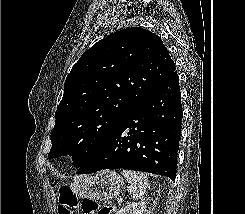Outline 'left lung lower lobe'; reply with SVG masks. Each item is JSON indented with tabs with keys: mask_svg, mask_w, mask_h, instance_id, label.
Here are the masks:
<instances>
[{
	"mask_svg": "<svg viewBox=\"0 0 245 214\" xmlns=\"http://www.w3.org/2000/svg\"><path fill=\"white\" fill-rule=\"evenodd\" d=\"M182 106L174 71L146 96L79 167L78 174L130 169L176 178Z\"/></svg>",
	"mask_w": 245,
	"mask_h": 214,
	"instance_id": "0a47b994",
	"label": "left lung lower lobe"
}]
</instances>
